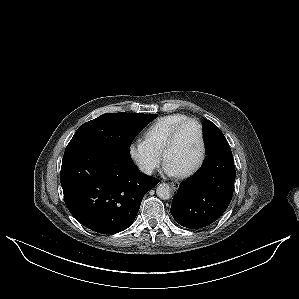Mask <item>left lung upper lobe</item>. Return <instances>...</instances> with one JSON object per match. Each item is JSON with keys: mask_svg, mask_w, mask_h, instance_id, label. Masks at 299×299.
<instances>
[{"mask_svg": "<svg viewBox=\"0 0 299 299\" xmlns=\"http://www.w3.org/2000/svg\"><path fill=\"white\" fill-rule=\"evenodd\" d=\"M202 129H203L204 141L206 146V154H207L203 162V165L206 162H208L209 156H211V154L219 148L227 150L232 154L226 138L224 137L223 133L219 130L218 127H216L209 120H206L202 125Z\"/></svg>", "mask_w": 299, "mask_h": 299, "instance_id": "left-lung-upper-lobe-1", "label": "left lung upper lobe"}]
</instances>
